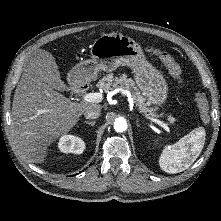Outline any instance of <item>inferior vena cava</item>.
Returning a JSON list of instances; mask_svg holds the SVG:
<instances>
[{"instance_id": "obj_1", "label": "inferior vena cava", "mask_w": 221, "mask_h": 221, "mask_svg": "<svg viewBox=\"0 0 221 221\" xmlns=\"http://www.w3.org/2000/svg\"><path fill=\"white\" fill-rule=\"evenodd\" d=\"M101 115V111L98 108L95 109H89L85 111L84 117L86 119H97Z\"/></svg>"}]
</instances>
